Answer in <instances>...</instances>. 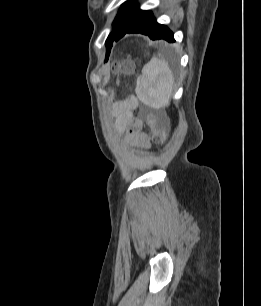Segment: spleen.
<instances>
[{"label": "spleen", "mask_w": 261, "mask_h": 306, "mask_svg": "<svg viewBox=\"0 0 261 306\" xmlns=\"http://www.w3.org/2000/svg\"><path fill=\"white\" fill-rule=\"evenodd\" d=\"M175 85L174 75L166 60L153 57L137 78L136 94L141 102L155 108L169 106Z\"/></svg>", "instance_id": "3e777b00"}]
</instances>
